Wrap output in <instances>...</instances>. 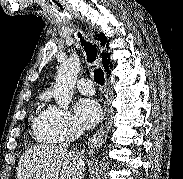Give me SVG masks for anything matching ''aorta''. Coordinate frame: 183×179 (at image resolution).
<instances>
[{
    "label": "aorta",
    "mask_w": 183,
    "mask_h": 179,
    "mask_svg": "<svg viewBox=\"0 0 183 179\" xmlns=\"http://www.w3.org/2000/svg\"><path fill=\"white\" fill-rule=\"evenodd\" d=\"M80 60L78 57H69L63 62L57 72L53 97L61 108L68 109L73 97V91L80 71Z\"/></svg>",
    "instance_id": "762f6f07"
}]
</instances>
